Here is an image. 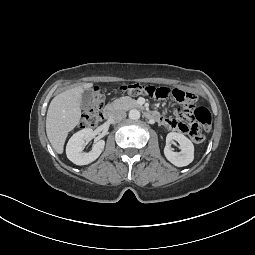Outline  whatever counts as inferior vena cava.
Wrapping results in <instances>:
<instances>
[{
    "label": "inferior vena cava",
    "instance_id": "1",
    "mask_svg": "<svg viewBox=\"0 0 255 255\" xmlns=\"http://www.w3.org/2000/svg\"><path fill=\"white\" fill-rule=\"evenodd\" d=\"M125 118H126V112H125V111H122V110L114 111V112L110 115V117H109V119H110L111 122H119V121H121V120H123V119H125Z\"/></svg>",
    "mask_w": 255,
    "mask_h": 255
}]
</instances>
